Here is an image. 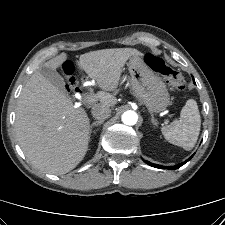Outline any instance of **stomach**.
I'll use <instances>...</instances> for the list:
<instances>
[{"label":"stomach","mask_w":225,"mask_h":225,"mask_svg":"<svg viewBox=\"0 0 225 225\" xmlns=\"http://www.w3.org/2000/svg\"><path fill=\"white\" fill-rule=\"evenodd\" d=\"M130 84L135 97L150 112L159 113L170 103V96L163 80L154 73L142 57L132 56L129 64Z\"/></svg>","instance_id":"1"}]
</instances>
